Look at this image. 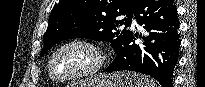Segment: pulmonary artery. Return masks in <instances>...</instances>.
<instances>
[{
    "instance_id": "obj_1",
    "label": "pulmonary artery",
    "mask_w": 205,
    "mask_h": 87,
    "mask_svg": "<svg viewBox=\"0 0 205 87\" xmlns=\"http://www.w3.org/2000/svg\"><path fill=\"white\" fill-rule=\"evenodd\" d=\"M132 25H133V26H136V25H137V22H136V20H135L134 18L132 19Z\"/></svg>"
}]
</instances>
